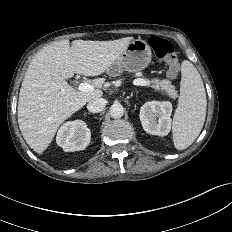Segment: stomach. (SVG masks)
I'll list each match as a JSON object with an SVG mask.
<instances>
[{
    "mask_svg": "<svg viewBox=\"0 0 232 232\" xmlns=\"http://www.w3.org/2000/svg\"><path fill=\"white\" fill-rule=\"evenodd\" d=\"M151 61V49L148 43L141 39L132 40L107 70L108 75L118 76L123 70L138 72L145 69Z\"/></svg>",
    "mask_w": 232,
    "mask_h": 232,
    "instance_id": "obj_1",
    "label": "stomach"
}]
</instances>
